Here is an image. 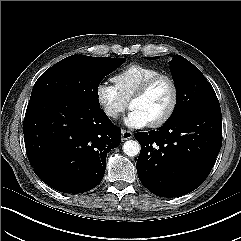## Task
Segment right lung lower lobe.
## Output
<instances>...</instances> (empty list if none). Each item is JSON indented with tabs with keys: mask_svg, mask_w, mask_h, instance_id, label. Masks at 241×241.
Returning <instances> with one entry per match:
<instances>
[{
	"mask_svg": "<svg viewBox=\"0 0 241 241\" xmlns=\"http://www.w3.org/2000/svg\"><path fill=\"white\" fill-rule=\"evenodd\" d=\"M23 133L35 174L63 193H83L103 179L107 153L119 146L121 131L100 108L66 96L30 100Z\"/></svg>",
	"mask_w": 241,
	"mask_h": 241,
	"instance_id": "obj_1",
	"label": "right lung lower lobe"
}]
</instances>
